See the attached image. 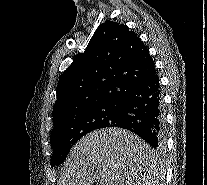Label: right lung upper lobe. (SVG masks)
<instances>
[{
	"mask_svg": "<svg viewBox=\"0 0 207 185\" xmlns=\"http://www.w3.org/2000/svg\"><path fill=\"white\" fill-rule=\"evenodd\" d=\"M156 75L147 47L127 26L106 20L85 52L60 76L54 125L80 112L119 103L132 86Z\"/></svg>",
	"mask_w": 207,
	"mask_h": 185,
	"instance_id": "1",
	"label": "right lung upper lobe"
}]
</instances>
